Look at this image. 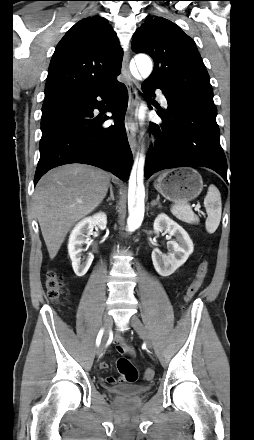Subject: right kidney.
<instances>
[{
  "label": "right kidney",
  "mask_w": 254,
  "mask_h": 440,
  "mask_svg": "<svg viewBox=\"0 0 254 440\" xmlns=\"http://www.w3.org/2000/svg\"><path fill=\"white\" fill-rule=\"evenodd\" d=\"M106 224L107 216L105 213L100 212L92 217L83 219L72 230L69 237L68 253L72 261L73 270L77 276H84L94 259V256L89 254L86 261L81 260L82 245L89 244L90 235L95 226L103 229Z\"/></svg>",
  "instance_id": "right-kidney-1"
}]
</instances>
